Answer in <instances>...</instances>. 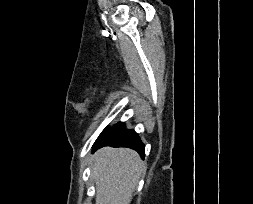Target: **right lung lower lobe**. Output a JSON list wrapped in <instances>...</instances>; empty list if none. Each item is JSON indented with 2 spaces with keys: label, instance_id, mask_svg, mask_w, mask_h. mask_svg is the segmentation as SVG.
Segmentation results:
<instances>
[{
  "label": "right lung lower lobe",
  "instance_id": "98d812e1",
  "mask_svg": "<svg viewBox=\"0 0 253 204\" xmlns=\"http://www.w3.org/2000/svg\"><path fill=\"white\" fill-rule=\"evenodd\" d=\"M103 146L112 147H128L136 150L142 159H144V144L140 137L134 130H126L125 124L119 122L110 129H105L96 142L94 143V150Z\"/></svg>",
  "mask_w": 253,
  "mask_h": 204
}]
</instances>
